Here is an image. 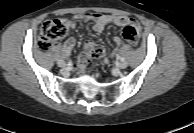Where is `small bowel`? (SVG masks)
I'll use <instances>...</instances> for the list:
<instances>
[{
  "label": "small bowel",
  "instance_id": "small-bowel-1",
  "mask_svg": "<svg viewBox=\"0 0 194 133\" xmlns=\"http://www.w3.org/2000/svg\"><path fill=\"white\" fill-rule=\"evenodd\" d=\"M79 20L92 21L94 23L93 30L98 33L102 32L105 26L108 24H114L120 27L131 26L135 28L138 35L141 31V27L139 23L134 18H131L128 16L99 14V13H86L84 15H78L72 18L69 21L70 27L73 29L76 28ZM113 43L115 45V48L111 54L112 56L118 52L119 47L121 46L122 42L119 37H114ZM75 44H76L75 38L69 37L68 39H66L65 42L61 46L62 55L68 56L71 53L72 49L74 48ZM93 44H94L93 42H87L84 45V49L88 51Z\"/></svg>",
  "mask_w": 194,
  "mask_h": 133
}]
</instances>
